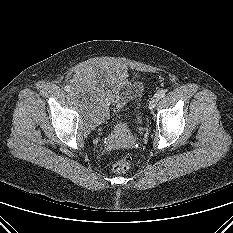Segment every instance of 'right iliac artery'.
<instances>
[{
  "label": "right iliac artery",
  "instance_id": "82829eb1",
  "mask_svg": "<svg viewBox=\"0 0 233 233\" xmlns=\"http://www.w3.org/2000/svg\"><path fill=\"white\" fill-rule=\"evenodd\" d=\"M65 90H66V91H70V86H68V85L65 86Z\"/></svg>",
  "mask_w": 233,
  "mask_h": 233
}]
</instances>
